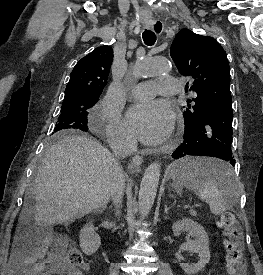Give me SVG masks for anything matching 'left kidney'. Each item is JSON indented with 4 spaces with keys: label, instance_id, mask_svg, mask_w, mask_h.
<instances>
[{
    "label": "left kidney",
    "instance_id": "1",
    "mask_svg": "<svg viewBox=\"0 0 263 275\" xmlns=\"http://www.w3.org/2000/svg\"><path fill=\"white\" fill-rule=\"evenodd\" d=\"M172 231L174 233L186 232L189 236L194 237V240L188 239L187 242L183 243L180 249L197 253L199 261L193 265L180 263V266L188 275L197 274L210 261L209 238L205 229L197 222L184 218L173 224Z\"/></svg>",
    "mask_w": 263,
    "mask_h": 275
}]
</instances>
